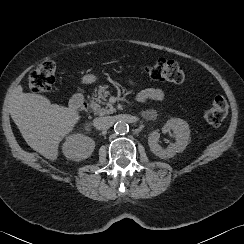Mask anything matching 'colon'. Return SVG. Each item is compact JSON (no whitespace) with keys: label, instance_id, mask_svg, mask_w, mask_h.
<instances>
[{"label":"colon","instance_id":"obj_1","mask_svg":"<svg viewBox=\"0 0 244 244\" xmlns=\"http://www.w3.org/2000/svg\"><path fill=\"white\" fill-rule=\"evenodd\" d=\"M143 72L154 80L182 84L187 75L182 66L172 60L164 58L145 65ZM56 79V64L47 60L33 69L28 78L29 89L34 93L48 92L52 89ZM228 104L224 97L215 96L212 106L204 111V118L213 126L220 125L226 117Z\"/></svg>","mask_w":244,"mask_h":244}]
</instances>
